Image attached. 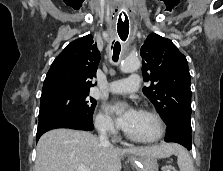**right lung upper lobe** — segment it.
I'll use <instances>...</instances> for the list:
<instances>
[{"label": "right lung upper lobe", "mask_w": 223, "mask_h": 171, "mask_svg": "<svg viewBox=\"0 0 223 171\" xmlns=\"http://www.w3.org/2000/svg\"><path fill=\"white\" fill-rule=\"evenodd\" d=\"M100 61L91 35L72 41L53 61L41 98L64 92H89Z\"/></svg>", "instance_id": "cb5924a9"}]
</instances>
